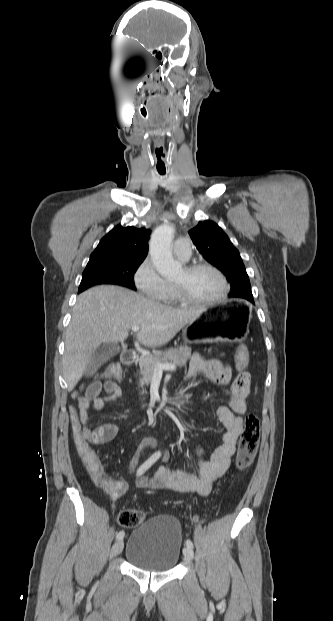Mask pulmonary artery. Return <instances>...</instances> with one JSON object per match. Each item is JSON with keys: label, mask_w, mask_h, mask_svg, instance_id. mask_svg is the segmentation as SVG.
<instances>
[{"label": "pulmonary artery", "mask_w": 333, "mask_h": 621, "mask_svg": "<svg viewBox=\"0 0 333 621\" xmlns=\"http://www.w3.org/2000/svg\"><path fill=\"white\" fill-rule=\"evenodd\" d=\"M174 254L182 261H187L191 256V243L186 238H179L174 243Z\"/></svg>", "instance_id": "pulmonary-artery-1"}]
</instances>
